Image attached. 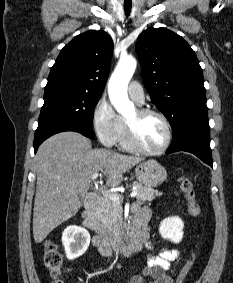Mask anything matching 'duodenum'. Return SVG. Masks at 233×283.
<instances>
[{
	"label": "duodenum",
	"mask_w": 233,
	"mask_h": 283,
	"mask_svg": "<svg viewBox=\"0 0 233 283\" xmlns=\"http://www.w3.org/2000/svg\"><path fill=\"white\" fill-rule=\"evenodd\" d=\"M100 203L101 200L97 195L91 194L87 196L82 212L83 225L95 233L100 240L103 250H111L113 248L125 256L137 253L147 238L143 227L134 225L126 239H117L104 229L98 219L97 211Z\"/></svg>",
	"instance_id": "410a0bca"
}]
</instances>
